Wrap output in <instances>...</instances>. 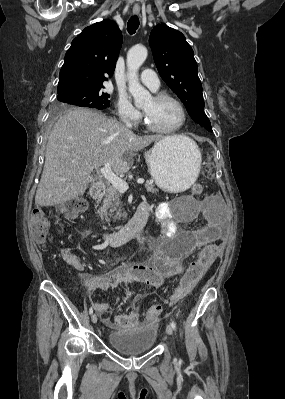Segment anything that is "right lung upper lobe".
I'll list each match as a JSON object with an SVG mask.
<instances>
[{
	"label": "right lung upper lobe",
	"mask_w": 285,
	"mask_h": 399,
	"mask_svg": "<svg viewBox=\"0 0 285 399\" xmlns=\"http://www.w3.org/2000/svg\"><path fill=\"white\" fill-rule=\"evenodd\" d=\"M121 45L122 33L114 21L86 27L65 54L57 92L102 88L105 76L113 75Z\"/></svg>",
	"instance_id": "1"
}]
</instances>
